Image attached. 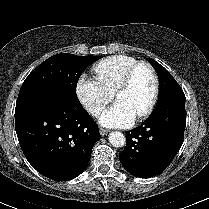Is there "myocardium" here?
Listing matches in <instances>:
<instances>
[{"instance_id":"f54148a6","label":"myocardium","mask_w":209,"mask_h":209,"mask_svg":"<svg viewBox=\"0 0 209 209\" xmlns=\"http://www.w3.org/2000/svg\"><path fill=\"white\" fill-rule=\"evenodd\" d=\"M143 68L147 69L153 78V93H152L151 99H150L148 105L146 106V108L140 114H138L136 116L137 120H142V119L146 118L153 111V109L157 103V100L159 97L160 82H159L158 74L155 71V69L149 63H146V62L137 63L136 65H134L133 67H131L127 71V73L122 78V80L119 82V84L117 85V87L114 91V96L116 98L118 93H120L121 91L126 89L131 84L135 74L140 69H143Z\"/></svg>"}]
</instances>
